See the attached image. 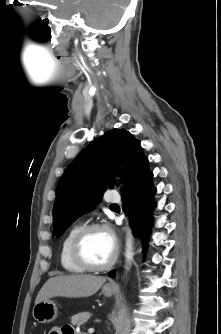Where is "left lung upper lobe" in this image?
Masks as SVG:
<instances>
[{"label": "left lung upper lobe", "instance_id": "1", "mask_svg": "<svg viewBox=\"0 0 221 334\" xmlns=\"http://www.w3.org/2000/svg\"><path fill=\"white\" fill-rule=\"evenodd\" d=\"M147 164L140 142L128 131H108L92 141L59 180L53 235L60 237L78 216L99 202L111 176H122L127 187Z\"/></svg>", "mask_w": 221, "mask_h": 334}]
</instances>
